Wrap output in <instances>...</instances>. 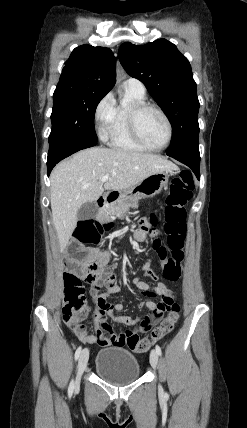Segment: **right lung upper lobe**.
Here are the masks:
<instances>
[{
	"label": "right lung upper lobe",
	"instance_id": "cb5924a9",
	"mask_svg": "<svg viewBox=\"0 0 247 428\" xmlns=\"http://www.w3.org/2000/svg\"><path fill=\"white\" fill-rule=\"evenodd\" d=\"M54 94L88 91L107 94L116 81V59L104 47L82 45L73 50Z\"/></svg>",
	"mask_w": 247,
	"mask_h": 428
}]
</instances>
